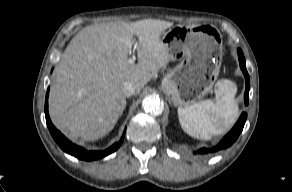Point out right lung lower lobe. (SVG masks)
<instances>
[{
	"instance_id": "1",
	"label": "right lung lower lobe",
	"mask_w": 292,
	"mask_h": 192,
	"mask_svg": "<svg viewBox=\"0 0 292 192\" xmlns=\"http://www.w3.org/2000/svg\"><path fill=\"white\" fill-rule=\"evenodd\" d=\"M48 95H49V88L47 90L46 100H45V117H46L47 126L54 140L66 153L71 154L81 160L92 161V160L101 159L105 157L106 155L116 151L120 147L124 136L121 138V140L118 143H115L114 145H112L111 147H109L108 149L104 151H86L82 149L81 147H78L75 144L71 143L54 127V125L52 124L49 118Z\"/></svg>"
}]
</instances>
